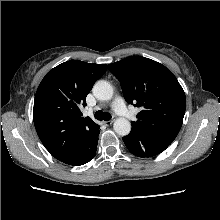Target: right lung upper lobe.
<instances>
[{
    "mask_svg": "<svg viewBox=\"0 0 220 220\" xmlns=\"http://www.w3.org/2000/svg\"><path fill=\"white\" fill-rule=\"evenodd\" d=\"M106 70V64L71 60L51 69L41 81L33 120L41 142L56 159L72 160L99 135V125L81 117L79 106L86 105V96Z\"/></svg>",
    "mask_w": 220,
    "mask_h": 220,
    "instance_id": "right-lung-upper-lobe-1",
    "label": "right lung upper lobe"
}]
</instances>
